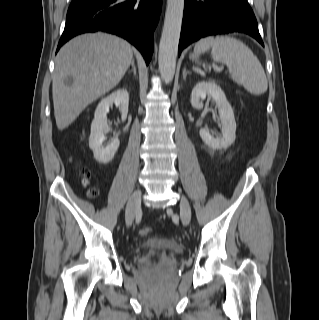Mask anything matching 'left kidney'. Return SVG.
<instances>
[{
  "instance_id": "5707ae66",
  "label": "left kidney",
  "mask_w": 319,
  "mask_h": 320,
  "mask_svg": "<svg viewBox=\"0 0 319 320\" xmlns=\"http://www.w3.org/2000/svg\"><path fill=\"white\" fill-rule=\"evenodd\" d=\"M206 97L212 98L219 108L220 119L223 123L222 136L214 137L207 129L202 128L199 131L200 137L212 149H226L235 141L236 122L233 109L221 87L213 81H201L194 86L191 93L192 107L201 109L202 101Z\"/></svg>"
}]
</instances>
